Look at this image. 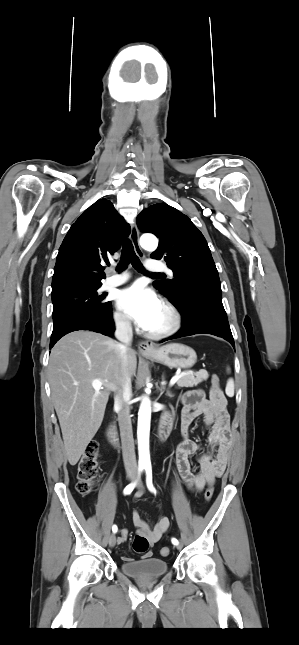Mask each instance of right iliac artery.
<instances>
[{
	"label": "right iliac artery",
	"instance_id": "obj_1",
	"mask_svg": "<svg viewBox=\"0 0 299 645\" xmlns=\"http://www.w3.org/2000/svg\"><path fill=\"white\" fill-rule=\"evenodd\" d=\"M143 468H144L143 466H140V467H139V473H141V472L143 471ZM135 485H136V482H133V483H130L129 485H127V486L125 487V489H124V494H130V493L133 491V489H134ZM117 530H118L117 526H116V525H113V527H112V531H113L114 533H116V532H117Z\"/></svg>",
	"mask_w": 299,
	"mask_h": 645
}]
</instances>
